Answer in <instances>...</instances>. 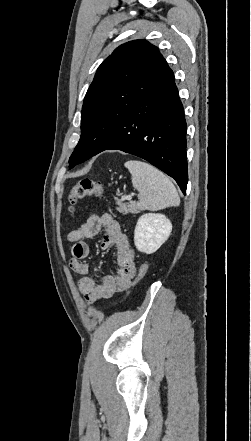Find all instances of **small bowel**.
I'll list each match as a JSON object with an SVG mask.
<instances>
[{"instance_id": "c3829d8e", "label": "small bowel", "mask_w": 251, "mask_h": 441, "mask_svg": "<svg viewBox=\"0 0 251 441\" xmlns=\"http://www.w3.org/2000/svg\"><path fill=\"white\" fill-rule=\"evenodd\" d=\"M101 229L104 230L102 249L113 247L116 251V274L107 275L97 282L90 274V265L85 261L90 254V246L85 240L95 237ZM67 240L73 244L69 266L81 275L78 288L88 304L108 299L129 287L136 272L134 251L127 235L111 214H90L80 227L68 233Z\"/></svg>"}]
</instances>
